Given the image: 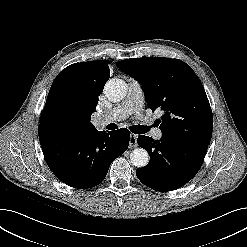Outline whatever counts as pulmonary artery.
Here are the masks:
<instances>
[{"label": "pulmonary artery", "mask_w": 247, "mask_h": 247, "mask_svg": "<svg viewBox=\"0 0 247 247\" xmlns=\"http://www.w3.org/2000/svg\"><path fill=\"white\" fill-rule=\"evenodd\" d=\"M143 102L144 92L141 84L138 81H131L125 99L113 109L99 117L98 123L104 125L111 122L121 121L132 114L136 115L141 120H145L142 115ZM151 135L154 139L160 140L163 133L159 128H154L151 131Z\"/></svg>", "instance_id": "obj_1"}]
</instances>
